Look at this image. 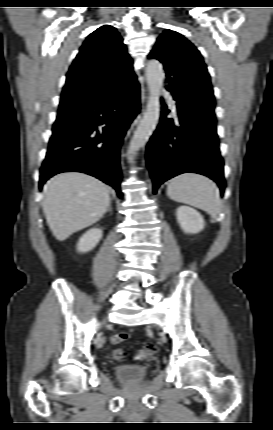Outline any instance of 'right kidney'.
<instances>
[{
  "label": "right kidney",
  "mask_w": 273,
  "mask_h": 430,
  "mask_svg": "<svg viewBox=\"0 0 273 430\" xmlns=\"http://www.w3.org/2000/svg\"><path fill=\"white\" fill-rule=\"evenodd\" d=\"M101 238L102 230L98 228H92L83 234L79 239L77 250L82 253L88 252L98 244Z\"/></svg>",
  "instance_id": "ca27d5eb"
}]
</instances>
